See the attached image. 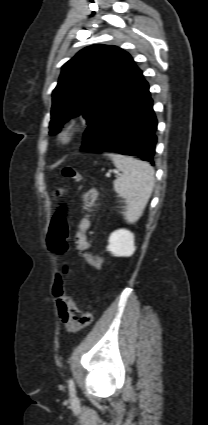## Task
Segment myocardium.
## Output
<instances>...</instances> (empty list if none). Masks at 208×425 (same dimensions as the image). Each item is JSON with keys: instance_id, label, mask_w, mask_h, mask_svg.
<instances>
[{"instance_id": "1", "label": "myocardium", "mask_w": 208, "mask_h": 425, "mask_svg": "<svg viewBox=\"0 0 208 425\" xmlns=\"http://www.w3.org/2000/svg\"><path fill=\"white\" fill-rule=\"evenodd\" d=\"M82 131V125L78 121L65 124L58 134V140L63 145L73 143Z\"/></svg>"}]
</instances>
